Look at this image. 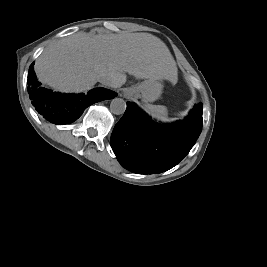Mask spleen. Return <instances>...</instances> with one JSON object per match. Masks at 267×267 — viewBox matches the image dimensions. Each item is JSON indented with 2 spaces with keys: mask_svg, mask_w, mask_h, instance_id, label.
<instances>
[{
  "mask_svg": "<svg viewBox=\"0 0 267 267\" xmlns=\"http://www.w3.org/2000/svg\"><path fill=\"white\" fill-rule=\"evenodd\" d=\"M143 108L152 118H155L162 122L168 120V111L167 108L163 105L145 104Z\"/></svg>",
  "mask_w": 267,
  "mask_h": 267,
  "instance_id": "1",
  "label": "spleen"
}]
</instances>
